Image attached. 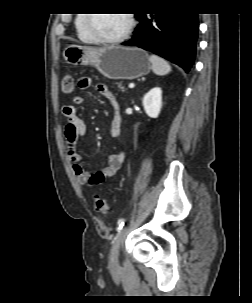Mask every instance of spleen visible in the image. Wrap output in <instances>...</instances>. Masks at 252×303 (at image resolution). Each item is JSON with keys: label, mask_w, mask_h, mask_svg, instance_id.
<instances>
[{"label": "spleen", "mask_w": 252, "mask_h": 303, "mask_svg": "<svg viewBox=\"0 0 252 303\" xmlns=\"http://www.w3.org/2000/svg\"><path fill=\"white\" fill-rule=\"evenodd\" d=\"M150 61L152 63V70L156 75L163 76L171 71L169 63L161 57L151 55Z\"/></svg>", "instance_id": "3e777b00"}]
</instances>
